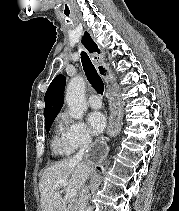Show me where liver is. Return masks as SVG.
Listing matches in <instances>:
<instances>
[{
	"label": "liver",
	"mask_w": 179,
	"mask_h": 211,
	"mask_svg": "<svg viewBox=\"0 0 179 211\" xmlns=\"http://www.w3.org/2000/svg\"><path fill=\"white\" fill-rule=\"evenodd\" d=\"M91 172L84 162L68 158L47 168L39 182L42 211H64L61 186H55L59 180H66L70 189L81 191Z\"/></svg>",
	"instance_id": "liver-1"
}]
</instances>
